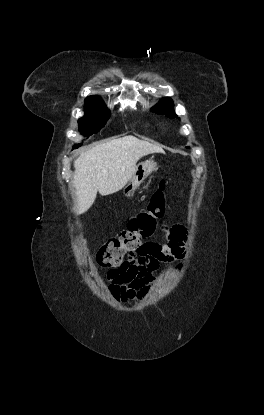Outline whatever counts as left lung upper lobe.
<instances>
[{
	"instance_id": "5c2ea615",
	"label": "left lung upper lobe",
	"mask_w": 264,
	"mask_h": 415,
	"mask_svg": "<svg viewBox=\"0 0 264 415\" xmlns=\"http://www.w3.org/2000/svg\"><path fill=\"white\" fill-rule=\"evenodd\" d=\"M151 110L159 114H165L170 118L177 117L173 110V101L169 97L162 98L156 106L151 108Z\"/></svg>"
}]
</instances>
